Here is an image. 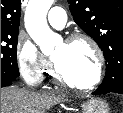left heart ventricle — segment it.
Returning a JSON list of instances; mask_svg holds the SVG:
<instances>
[{
    "instance_id": "1",
    "label": "left heart ventricle",
    "mask_w": 123,
    "mask_h": 113,
    "mask_svg": "<svg viewBox=\"0 0 123 113\" xmlns=\"http://www.w3.org/2000/svg\"><path fill=\"white\" fill-rule=\"evenodd\" d=\"M52 58L64 75L78 84L89 83L96 74V56L85 41L61 43L52 54Z\"/></svg>"
}]
</instances>
